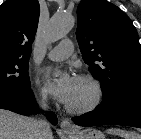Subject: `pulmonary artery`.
<instances>
[{
	"label": "pulmonary artery",
	"instance_id": "pulmonary-artery-1",
	"mask_svg": "<svg viewBox=\"0 0 141 139\" xmlns=\"http://www.w3.org/2000/svg\"><path fill=\"white\" fill-rule=\"evenodd\" d=\"M73 52V43L63 40L59 45L48 51L47 57L54 61H61L69 57Z\"/></svg>",
	"mask_w": 141,
	"mask_h": 139
}]
</instances>
